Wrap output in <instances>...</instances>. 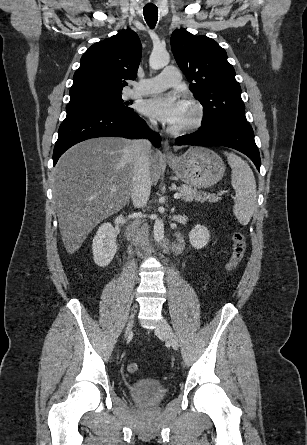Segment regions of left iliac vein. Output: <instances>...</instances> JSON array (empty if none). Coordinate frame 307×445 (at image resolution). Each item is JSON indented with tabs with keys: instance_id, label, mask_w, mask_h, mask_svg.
<instances>
[{
	"instance_id": "left-iliac-vein-1",
	"label": "left iliac vein",
	"mask_w": 307,
	"mask_h": 445,
	"mask_svg": "<svg viewBox=\"0 0 307 445\" xmlns=\"http://www.w3.org/2000/svg\"><path fill=\"white\" fill-rule=\"evenodd\" d=\"M155 333L158 336L167 339L174 350H178L179 347L178 338L165 318H162L158 322L157 327L155 328Z\"/></svg>"
}]
</instances>
